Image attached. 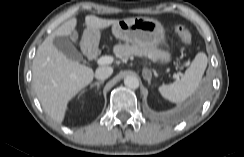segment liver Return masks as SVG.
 <instances>
[{
    "label": "liver",
    "mask_w": 244,
    "mask_h": 157,
    "mask_svg": "<svg viewBox=\"0 0 244 157\" xmlns=\"http://www.w3.org/2000/svg\"><path fill=\"white\" fill-rule=\"evenodd\" d=\"M118 21L87 15L80 47L86 49L96 44L102 30ZM76 26L77 19L72 18L52 32L38 47L32 63V85L36 96L46 114L57 123L63 122L69 101L94 78L93 69L67 58L53 43L55 37L68 35L76 43Z\"/></svg>",
    "instance_id": "1"
}]
</instances>
